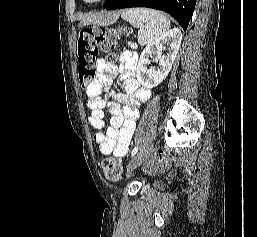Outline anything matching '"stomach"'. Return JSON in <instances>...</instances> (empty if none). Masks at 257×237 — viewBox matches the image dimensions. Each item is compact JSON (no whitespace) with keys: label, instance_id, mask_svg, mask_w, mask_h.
<instances>
[{"label":"stomach","instance_id":"0dacf381","mask_svg":"<svg viewBox=\"0 0 257 237\" xmlns=\"http://www.w3.org/2000/svg\"><path fill=\"white\" fill-rule=\"evenodd\" d=\"M125 32H126L125 27H122V28L118 29V31H117L118 34H122V33H125Z\"/></svg>","mask_w":257,"mask_h":237}]
</instances>
